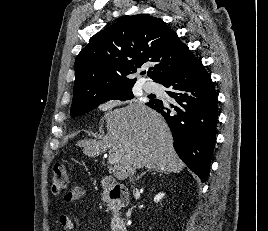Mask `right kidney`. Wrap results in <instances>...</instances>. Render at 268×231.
I'll use <instances>...</instances> for the list:
<instances>
[{
	"label": "right kidney",
	"instance_id": "ca27d5eb",
	"mask_svg": "<svg viewBox=\"0 0 268 231\" xmlns=\"http://www.w3.org/2000/svg\"><path fill=\"white\" fill-rule=\"evenodd\" d=\"M164 193H158L155 197H154V202H159L163 197H164Z\"/></svg>",
	"mask_w": 268,
	"mask_h": 231
}]
</instances>
